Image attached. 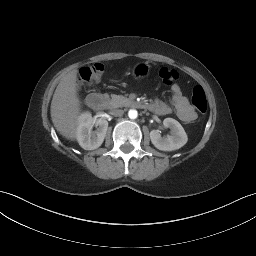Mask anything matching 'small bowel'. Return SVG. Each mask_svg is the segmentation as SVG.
Listing matches in <instances>:
<instances>
[{
  "label": "small bowel",
  "mask_w": 256,
  "mask_h": 256,
  "mask_svg": "<svg viewBox=\"0 0 256 256\" xmlns=\"http://www.w3.org/2000/svg\"><path fill=\"white\" fill-rule=\"evenodd\" d=\"M171 104L172 107L159 101L148 104L149 109L158 115H168L174 110L177 117L186 123L192 122L196 119V112L190 105L186 96L183 95L179 85L174 84L171 87Z\"/></svg>",
  "instance_id": "obj_1"
}]
</instances>
